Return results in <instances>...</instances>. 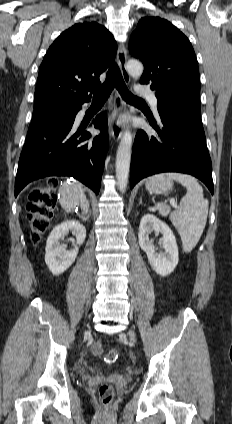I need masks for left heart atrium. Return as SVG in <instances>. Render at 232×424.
Here are the masks:
<instances>
[{"label":"left heart atrium","mask_w":232,"mask_h":424,"mask_svg":"<svg viewBox=\"0 0 232 424\" xmlns=\"http://www.w3.org/2000/svg\"><path fill=\"white\" fill-rule=\"evenodd\" d=\"M118 124L121 125V119L118 121Z\"/></svg>","instance_id":"39dd6f15"}]
</instances>
